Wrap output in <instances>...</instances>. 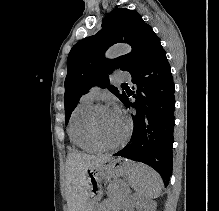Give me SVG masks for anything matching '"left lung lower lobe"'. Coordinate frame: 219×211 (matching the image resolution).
Wrapping results in <instances>:
<instances>
[{
	"mask_svg": "<svg viewBox=\"0 0 219 211\" xmlns=\"http://www.w3.org/2000/svg\"><path fill=\"white\" fill-rule=\"evenodd\" d=\"M136 90L121 100L133 107L134 128L128 145L114 154L150 165L162 177L165 186L172 175L174 130V83L166 52L160 51L132 75ZM130 96L136 100L130 102Z\"/></svg>",
	"mask_w": 219,
	"mask_h": 211,
	"instance_id": "1",
	"label": "left lung lower lobe"
}]
</instances>
